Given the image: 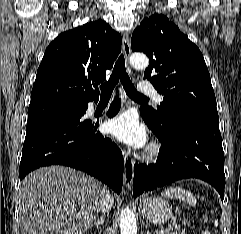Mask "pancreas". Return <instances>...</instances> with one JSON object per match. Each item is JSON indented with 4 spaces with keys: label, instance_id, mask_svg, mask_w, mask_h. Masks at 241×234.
I'll list each match as a JSON object with an SVG mask.
<instances>
[{
    "label": "pancreas",
    "instance_id": "pancreas-1",
    "mask_svg": "<svg viewBox=\"0 0 241 234\" xmlns=\"http://www.w3.org/2000/svg\"><path fill=\"white\" fill-rule=\"evenodd\" d=\"M167 234H174V233L168 232Z\"/></svg>",
    "mask_w": 241,
    "mask_h": 234
}]
</instances>
